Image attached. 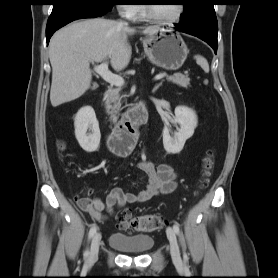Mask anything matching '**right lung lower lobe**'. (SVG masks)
Returning a JSON list of instances; mask_svg holds the SVG:
<instances>
[{
	"label": "right lung lower lobe",
	"mask_w": 278,
	"mask_h": 278,
	"mask_svg": "<svg viewBox=\"0 0 278 278\" xmlns=\"http://www.w3.org/2000/svg\"><path fill=\"white\" fill-rule=\"evenodd\" d=\"M109 10H102L86 5L70 4L64 5L52 12L46 27L47 44L53 33L64 25L82 18L100 17L106 14Z\"/></svg>",
	"instance_id": "1"
}]
</instances>
